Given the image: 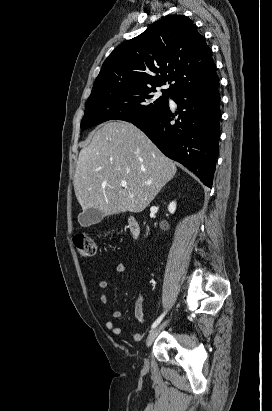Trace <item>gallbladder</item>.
<instances>
[{"mask_svg": "<svg viewBox=\"0 0 272 411\" xmlns=\"http://www.w3.org/2000/svg\"><path fill=\"white\" fill-rule=\"evenodd\" d=\"M103 218L104 215L99 209L89 208L79 215L78 221L82 227H89L100 223Z\"/></svg>", "mask_w": 272, "mask_h": 411, "instance_id": "obj_1", "label": "gallbladder"}]
</instances>
